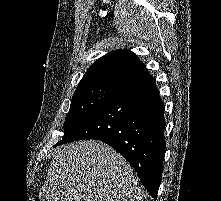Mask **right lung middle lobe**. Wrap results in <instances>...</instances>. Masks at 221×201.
<instances>
[{
    "instance_id": "dd1d6c3e",
    "label": "right lung middle lobe",
    "mask_w": 221,
    "mask_h": 201,
    "mask_svg": "<svg viewBox=\"0 0 221 201\" xmlns=\"http://www.w3.org/2000/svg\"><path fill=\"white\" fill-rule=\"evenodd\" d=\"M118 90L111 87H89L76 90L64 123V136L55 146L65 142Z\"/></svg>"
}]
</instances>
